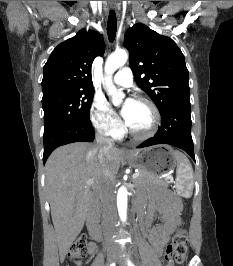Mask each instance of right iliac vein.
<instances>
[{"label":"right iliac vein","instance_id":"63e3f726","mask_svg":"<svg viewBox=\"0 0 233 266\" xmlns=\"http://www.w3.org/2000/svg\"><path fill=\"white\" fill-rule=\"evenodd\" d=\"M115 256H116V253H115V251H109L108 252V260L110 261V262H112L114 259H115Z\"/></svg>","mask_w":233,"mask_h":266}]
</instances>
